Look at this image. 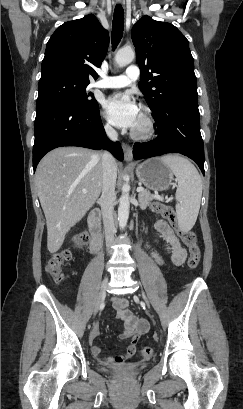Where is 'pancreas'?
Instances as JSON below:
<instances>
[{"label":"pancreas","mask_w":243,"mask_h":409,"mask_svg":"<svg viewBox=\"0 0 243 409\" xmlns=\"http://www.w3.org/2000/svg\"><path fill=\"white\" fill-rule=\"evenodd\" d=\"M154 199H158L157 196L151 194L147 190H143L142 192L139 193L138 195V200H139V206L141 209H145L147 206H149L150 202Z\"/></svg>","instance_id":"pancreas-1"}]
</instances>
